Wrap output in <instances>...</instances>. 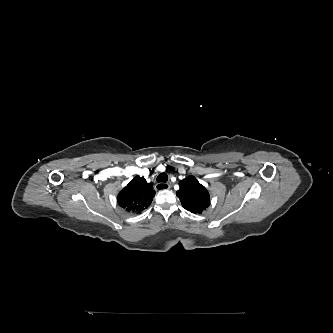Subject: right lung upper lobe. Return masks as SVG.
<instances>
[{"label":"right lung upper lobe","mask_w":333,"mask_h":333,"mask_svg":"<svg viewBox=\"0 0 333 333\" xmlns=\"http://www.w3.org/2000/svg\"><path fill=\"white\" fill-rule=\"evenodd\" d=\"M154 196L152 183H147L145 178L136 176L120 191L117 202L129 213L139 214L151 204Z\"/></svg>","instance_id":"cb5924a9"}]
</instances>
